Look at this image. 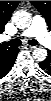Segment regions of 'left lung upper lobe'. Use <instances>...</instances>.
<instances>
[{
  "label": "left lung upper lobe",
  "instance_id": "left-lung-upper-lobe-1",
  "mask_svg": "<svg viewBox=\"0 0 51 101\" xmlns=\"http://www.w3.org/2000/svg\"><path fill=\"white\" fill-rule=\"evenodd\" d=\"M32 4L40 11V13L45 17L47 22H49L50 19V10L46 6V4L40 2V1H32Z\"/></svg>",
  "mask_w": 51,
  "mask_h": 101
}]
</instances>
